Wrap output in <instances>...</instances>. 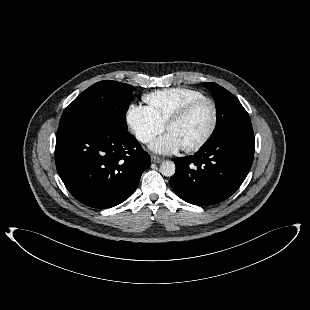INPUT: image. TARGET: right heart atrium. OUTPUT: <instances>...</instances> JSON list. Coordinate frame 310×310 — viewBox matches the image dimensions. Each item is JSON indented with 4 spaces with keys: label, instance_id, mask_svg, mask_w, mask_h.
Masks as SVG:
<instances>
[{
    "label": "right heart atrium",
    "instance_id": "1",
    "mask_svg": "<svg viewBox=\"0 0 310 310\" xmlns=\"http://www.w3.org/2000/svg\"><path fill=\"white\" fill-rule=\"evenodd\" d=\"M126 124L134 137L143 144L150 143L164 131V125L158 122L145 106L135 103L127 109Z\"/></svg>",
    "mask_w": 310,
    "mask_h": 310
}]
</instances>
